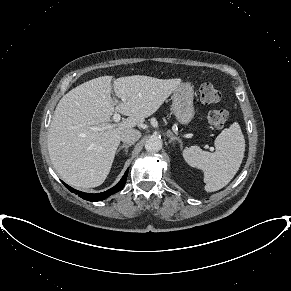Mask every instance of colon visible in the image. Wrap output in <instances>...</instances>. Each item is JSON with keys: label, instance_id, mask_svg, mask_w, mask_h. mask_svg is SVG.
I'll return each instance as SVG.
<instances>
[{"label": "colon", "instance_id": "5ec220e1", "mask_svg": "<svg viewBox=\"0 0 291 291\" xmlns=\"http://www.w3.org/2000/svg\"><path fill=\"white\" fill-rule=\"evenodd\" d=\"M199 94L204 104H215L221 99V93L211 83H203L199 88ZM227 117L225 110L214 109L208 113L207 120L214 127L221 128L226 123Z\"/></svg>", "mask_w": 291, "mask_h": 291}]
</instances>
